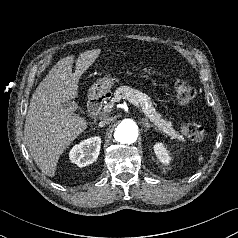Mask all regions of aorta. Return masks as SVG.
<instances>
[{"label": "aorta", "instance_id": "762f6f07", "mask_svg": "<svg viewBox=\"0 0 238 238\" xmlns=\"http://www.w3.org/2000/svg\"><path fill=\"white\" fill-rule=\"evenodd\" d=\"M138 125L132 119H124L115 129V139L123 144H132L138 138Z\"/></svg>", "mask_w": 238, "mask_h": 238}]
</instances>
